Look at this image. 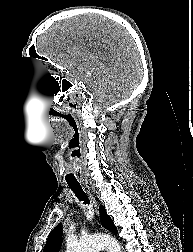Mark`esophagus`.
Instances as JSON below:
<instances>
[{"label":"esophagus","instance_id":"1","mask_svg":"<svg viewBox=\"0 0 193 252\" xmlns=\"http://www.w3.org/2000/svg\"><path fill=\"white\" fill-rule=\"evenodd\" d=\"M88 192H89L90 198H91V200H92V202L94 204V207H95V210H96V214L99 215V210H98L97 202L95 201V198L93 197L92 193L90 192L89 187H88Z\"/></svg>","mask_w":193,"mask_h":252}]
</instances>
